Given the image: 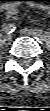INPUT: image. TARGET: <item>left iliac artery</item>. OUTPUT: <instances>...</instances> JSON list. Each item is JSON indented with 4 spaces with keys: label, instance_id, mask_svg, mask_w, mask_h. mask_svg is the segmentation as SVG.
Listing matches in <instances>:
<instances>
[{
    "label": "left iliac artery",
    "instance_id": "1",
    "mask_svg": "<svg viewBox=\"0 0 50 111\" xmlns=\"http://www.w3.org/2000/svg\"><path fill=\"white\" fill-rule=\"evenodd\" d=\"M33 33L35 34V36L38 40L42 41L44 39V36L39 29H36V28L33 29Z\"/></svg>",
    "mask_w": 50,
    "mask_h": 111
}]
</instances>
